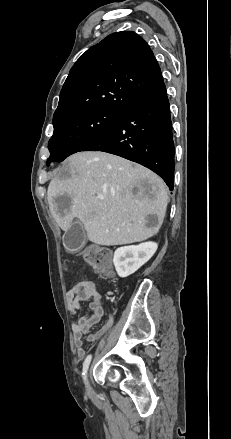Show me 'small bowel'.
I'll use <instances>...</instances> for the list:
<instances>
[{"label": "small bowel", "instance_id": "c3829d8e", "mask_svg": "<svg viewBox=\"0 0 231 439\" xmlns=\"http://www.w3.org/2000/svg\"><path fill=\"white\" fill-rule=\"evenodd\" d=\"M103 294L99 291L98 286L91 280L75 283L67 292L66 301L70 312L75 315L81 310V302L89 301V312L81 317L76 318L72 323L74 345L79 357H84L83 338L87 335L89 329L98 323L104 314L102 304ZM113 318L108 319L107 324L86 338L88 342H95L100 338L104 331L111 325Z\"/></svg>", "mask_w": 231, "mask_h": 439}]
</instances>
